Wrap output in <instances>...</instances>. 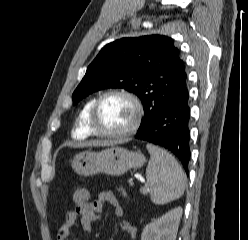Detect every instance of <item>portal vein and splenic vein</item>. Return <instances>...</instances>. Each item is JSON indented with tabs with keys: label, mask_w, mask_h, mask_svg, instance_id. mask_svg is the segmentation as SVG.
Returning a JSON list of instances; mask_svg holds the SVG:
<instances>
[{
	"label": "portal vein and splenic vein",
	"mask_w": 248,
	"mask_h": 240,
	"mask_svg": "<svg viewBox=\"0 0 248 240\" xmlns=\"http://www.w3.org/2000/svg\"><path fill=\"white\" fill-rule=\"evenodd\" d=\"M140 191L145 194L149 191V189L148 188H142Z\"/></svg>",
	"instance_id": "1"
}]
</instances>
